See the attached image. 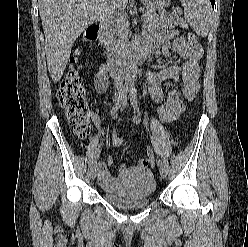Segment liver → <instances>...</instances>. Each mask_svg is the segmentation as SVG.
<instances>
[{
	"label": "liver",
	"mask_w": 248,
	"mask_h": 247,
	"mask_svg": "<svg viewBox=\"0 0 248 247\" xmlns=\"http://www.w3.org/2000/svg\"><path fill=\"white\" fill-rule=\"evenodd\" d=\"M127 3L128 0H39L47 65L54 82L61 79L80 34L105 15L123 10Z\"/></svg>",
	"instance_id": "liver-1"
}]
</instances>
